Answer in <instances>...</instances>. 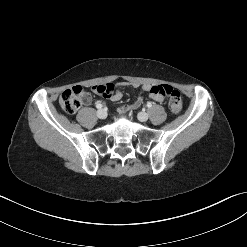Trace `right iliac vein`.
I'll list each match as a JSON object with an SVG mask.
<instances>
[{"label":"right iliac vein","mask_w":247,"mask_h":247,"mask_svg":"<svg viewBox=\"0 0 247 247\" xmlns=\"http://www.w3.org/2000/svg\"><path fill=\"white\" fill-rule=\"evenodd\" d=\"M97 117L100 119H105L107 117V112L104 109L97 111Z\"/></svg>","instance_id":"obj_1"}]
</instances>
